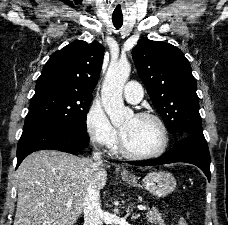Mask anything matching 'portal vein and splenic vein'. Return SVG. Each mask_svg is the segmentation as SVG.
Segmentation results:
<instances>
[{"mask_svg": "<svg viewBox=\"0 0 228 225\" xmlns=\"http://www.w3.org/2000/svg\"><path fill=\"white\" fill-rule=\"evenodd\" d=\"M138 209H141V211H145L146 207H142V205H138Z\"/></svg>", "mask_w": 228, "mask_h": 225, "instance_id": "1", "label": "portal vein and splenic vein"}]
</instances>
